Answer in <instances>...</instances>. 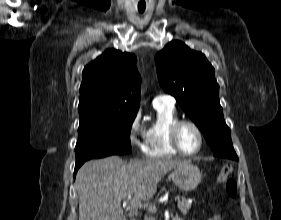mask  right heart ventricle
Returning a JSON list of instances; mask_svg holds the SVG:
<instances>
[{
  "label": "right heart ventricle",
  "instance_id": "right-heart-ventricle-1",
  "mask_svg": "<svg viewBox=\"0 0 281 220\" xmlns=\"http://www.w3.org/2000/svg\"><path fill=\"white\" fill-rule=\"evenodd\" d=\"M156 118L150 123L145 134L143 152L149 157L175 156L178 152L169 140L171 125L179 120L174 106L166 104L153 105Z\"/></svg>",
  "mask_w": 281,
  "mask_h": 220
}]
</instances>
